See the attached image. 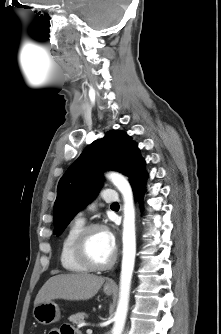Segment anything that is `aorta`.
Returning <instances> with one entry per match:
<instances>
[{
  "instance_id": "obj_1",
  "label": "aorta",
  "mask_w": 221,
  "mask_h": 334,
  "mask_svg": "<svg viewBox=\"0 0 221 334\" xmlns=\"http://www.w3.org/2000/svg\"><path fill=\"white\" fill-rule=\"evenodd\" d=\"M108 178L123 196V257L120 275L119 300L114 316L111 334H122L128 312L131 279L136 255L135 208L133 192L129 182L118 173H110Z\"/></svg>"
}]
</instances>
